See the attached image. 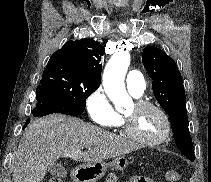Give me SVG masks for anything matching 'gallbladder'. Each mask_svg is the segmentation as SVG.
<instances>
[{"label":"gallbladder","instance_id":"obj_1","mask_svg":"<svg viewBox=\"0 0 211 182\" xmlns=\"http://www.w3.org/2000/svg\"><path fill=\"white\" fill-rule=\"evenodd\" d=\"M50 174L57 176V177H64L66 175L65 168L60 163H54L49 168Z\"/></svg>","mask_w":211,"mask_h":182}]
</instances>
